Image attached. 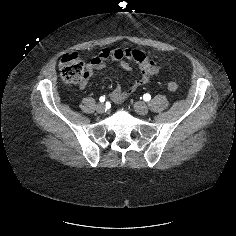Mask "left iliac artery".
I'll return each mask as SVG.
<instances>
[{
    "label": "left iliac artery",
    "instance_id": "obj_1",
    "mask_svg": "<svg viewBox=\"0 0 236 236\" xmlns=\"http://www.w3.org/2000/svg\"><path fill=\"white\" fill-rule=\"evenodd\" d=\"M143 98L145 101H149L151 99V96L150 94L147 93V94H144Z\"/></svg>",
    "mask_w": 236,
    "mask_h": 236
}]
</instances>
